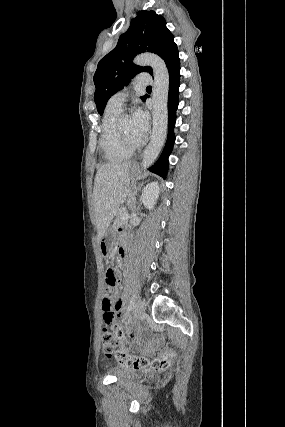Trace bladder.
I'll use <instances>...</instances> for the list:
<instances>
[{
    "mask_svg": "<svg viewBox=\"0 0 285 427\" xmlns=\"http://www.w3.org/2000/svg\"><path fill=\"white\" fill-rule=\"evenodd\" d=\"M109 372L115 375L119 379L132 378L135 380H145L148 378V374L142 371L127 372L120 367H111Z\"/></svg>",
    "mask_w": 285,
    "mask_h": 427,
    "instance_id": "obj_1",
    "label": "bladder"
}]
</instances>
